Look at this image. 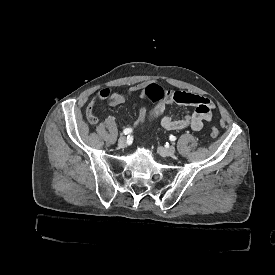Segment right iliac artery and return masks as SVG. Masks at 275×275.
Segmentation results:
<instances>
[{"label":"right iliac artery","instance_id":"obj_1","mask_svg":"<svg viewBox=\"0 0 275 275\" xmlns=\"http://www.w3.org/2000/svg\"><path fill=\"white\" fill-rule=\"evenodd\" d=\"M131 132H132V129H130V128H126V129L123 130V134H124V135H128V134H130Z\"/></svg>","mask_w":275,"mask_h":275}]
</instances>
